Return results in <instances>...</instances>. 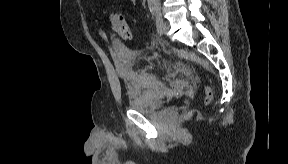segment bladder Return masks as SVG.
Returning <instances> with one entry per match:
<instances>
[{
  "mask_svg": "<svg viewBox=\"0 0 288 164\" xmlns=\"http://www.w3.org/2000/svg\"><path fill=\"white\" fill-rule=\"evenodd\" d=\"M111 46L119 64L130 67L135 63V54L124 43L113 39ZM159 104L157 91L150 87L134 90L129 98V108L143 114L153 113Z\"/></svg>",
  "mask_w": 288,
  "mask_h": 164,
  "instance_id": "bladder-1",
  "label": "bladder"
}]
</instances>
